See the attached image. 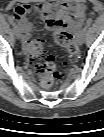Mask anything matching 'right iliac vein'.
Instances as JSON below:
<instances>
[{
	"mask_svg": "<svg viewBox=\"0 0 104 137\" xmlns=\"http://www.w3.org/2000/svg\"><path fill=\"white\" fill-rule=\"evenodd\" d=\"M14 34H15V36H16L17 39L20 40L22 38V34H21V31H20V29H19L18 26L14 27Z\"/></svg>",
	"mask_w": 104,
	"mask_h": 137,
	"instance_id": "1",
	"label": "right iliac vein"
}]
</instances>
